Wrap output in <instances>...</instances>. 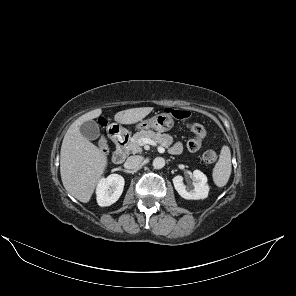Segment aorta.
Returning a JSON list of instances; mask_svg holds the SVG:
<instances>
[{"label": "aorta", "instance_id": "aorta-1", "mask_svg": "<svg viewBox=\"0 0 296 296\" xmlns=\"http://www.w3.org/2000/svg\"><path fill=\"white\" fill-rule=\"evenodd\" d=\"M165 166V159L162 157H156L153 160V167L155 169H162Z\"/></svg>", "mask_w": 296, "mask_h": 296}]
</instances>
